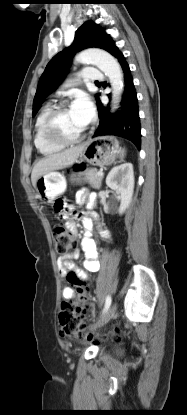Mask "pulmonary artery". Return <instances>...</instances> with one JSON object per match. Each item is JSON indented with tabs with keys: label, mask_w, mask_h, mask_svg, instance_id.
Here are the masks:
<instances>
[{
	"label": "pulmonary artery",
	"mask_w": 187,
	"mask_h": 415,
	"mask_svg": "<svg viewBox=\"0 0 187 415\" xmlns=\"http://www.w3.org/2000/svg\"><path fill=\"white\" fill-rule=\"evenodd\" d=\"M80 77L91 82H100L104 75L95 67H87L80 73Z\"/></svg>",
	"instance_id": "obj_1"
}]
</instances>
